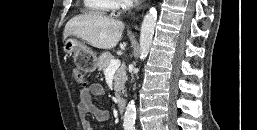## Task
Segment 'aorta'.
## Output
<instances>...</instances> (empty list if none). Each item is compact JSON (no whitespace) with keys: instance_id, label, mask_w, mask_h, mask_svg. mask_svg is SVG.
I'll list each match as a JSON object with an SVG mask.
<instances>
[{"instance_id":"aorta-1","label":"aorta","mask_w":257,"mask_h":130,"mask_svg":"<svg viewBox=\"0 0 257 130\" xmlns=\"http://www.w3.org/2000/svg\"><path fill=\"white\" fill-rule=\"evenodd\" d=\"M157 21V11L151 8L144 16L140 30V59L144 60L150 50L154 30ZM136 118V106L134 100H131L124 114L123 127L125 130H133Z\"/></svg>"}]
</instances>
